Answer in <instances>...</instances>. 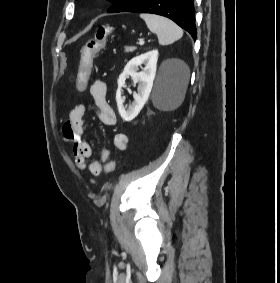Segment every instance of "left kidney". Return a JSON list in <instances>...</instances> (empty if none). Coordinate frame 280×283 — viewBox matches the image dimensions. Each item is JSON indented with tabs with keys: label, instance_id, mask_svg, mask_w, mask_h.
<instances>
[{
	"label": "left kidney",
	"instance_id": "5707ae66",
	"mask_svg": "<svg viewBox=\"0 0 280 283\" xmlns=\"http://www.w3.org/2000/svg\"><path fill=\"white\" fill-rule=\"evenodd\" d=\"M157 60L158 51H149L131 59L120 74L117 80L116 102L119 114L124 121L133 120L148 100L156 75ZM142 64H145L143 71L137 72L138 66ZM129 76L134 84L138 83V90L133 95L134 102L126 109L123 105L122 88L126 87L125 80Z\"/></svg>",
	"mask_w": 280,
	"mask_h": 283
}]
</instances>
